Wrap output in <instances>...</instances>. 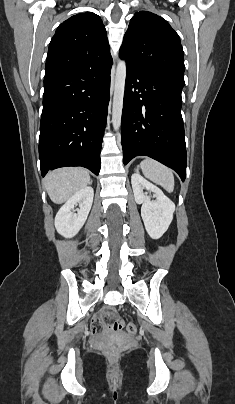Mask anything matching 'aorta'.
<instances>
[{
	"label": "aorta",
	"instance_id": "1",
	"mask_svg": "<svg viewBox=\"0 0 235 404\" xmlns=\"http://www.w3.org/2000/svg\"><path fill=\"white\" fill-rule=\"evenodd\" d=\"M125 80H126V62L119 61L116 69L113 105H112V124L115 131L119 130L121 125Z\"/></svg>",
	"mask_w": 235,
	"mask_h": 404
}]
</instances>
